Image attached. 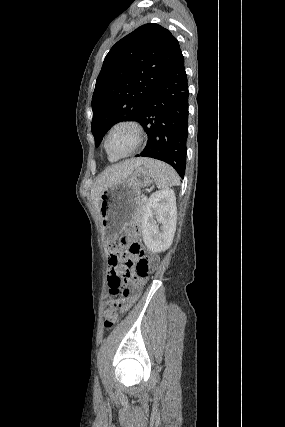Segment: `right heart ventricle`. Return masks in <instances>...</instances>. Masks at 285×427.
<instances>
[{
    "instance_id": "1",
    "label": "right heart ventricle",
    "mask_w": 285,
    "mask_h": 427,
    "mask_svg": "<svg viewBox=\"0 0 285 427\" xmlns=\"http://www.w3.org/2000/svg\"><path fill=\"white\" fill-rule=\"evenodd\" d=\"M108 157H109V160H110V161H114V160H115V157H112V156H110V155H108Z\"/></svg>"
}]
</instances>
